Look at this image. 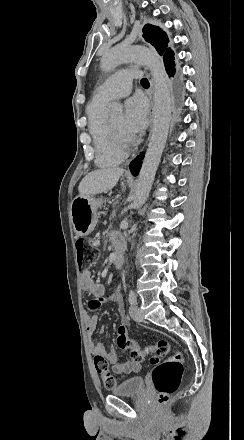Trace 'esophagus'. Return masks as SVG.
Masks as SVG:
<instances>
[{
	"instance_id": "obj_1",
	"label": "esophagus",
	"mask_w": 244,
	"mask_h": 440,
	"mask_svg": "<svg viewBox=\"0 0 244 440\" xmlns=\"http://www.w3.org/2000/svg\"><path fill=\"white\" fill-rule=\"evenodd\" d=\"M154 106H155V102H154V97L153 95H151L150 97V106H149V119H150V126H149V132H148V140L151 137V133H152V127H153V120H154Z\"/></svg>"
}]
</instances>
